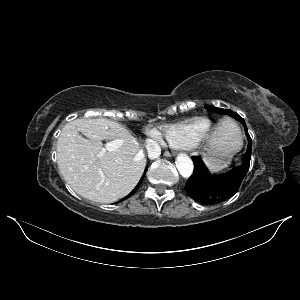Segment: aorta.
<instances>
[{
  "label": "aorta",
  "instance_id": "762f6f07",
  "mask_svg": "<svg viewBox=\"0 0 300 300\" xmlns=\"http://www.w3.org/2000/svg\"><path fill=\"white\" fill-rule=\"evenodd\" d=\"M176 167L184 178H188L192 175L194 165L192 160L187 154H179L176 158Z\"/></svg>",
  "mask_w": 300,
  "mask_h": 300
}]
</instances>
